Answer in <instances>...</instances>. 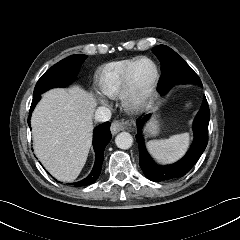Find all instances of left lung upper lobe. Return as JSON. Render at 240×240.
Instances as JSON below:
<instances>
[{"label":"left lung upper lobe","mask_w":240,"mask_h":240,"mask_svg":"<svg viewBox=\"0 0 240 240\" xmlns=\"http://www.w3.org/2000/svg\"><path fill=\"white\" fill-rule=\"evenodd\" d=\"M152 52L161 63V77L157 86L160 94H166L174 84L178 83L202 85L192 68L168 46L158 45L152 49Z\"/></svg>","instance_id":"1"}]
</instances>
